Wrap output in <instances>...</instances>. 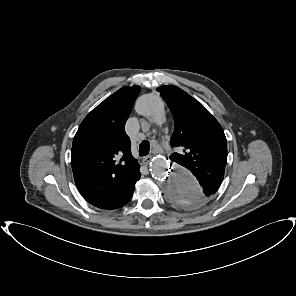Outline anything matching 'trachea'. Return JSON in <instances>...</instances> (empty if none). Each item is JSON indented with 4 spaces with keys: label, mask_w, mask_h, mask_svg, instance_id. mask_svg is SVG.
<instances>
[{
    "label": "trachea",
    "mask_w": 296,
    "mask_h": 296,
    "mask_svg": "<svg viewBox=\"0 0 296 296\" xmlns=\"http://www.w3.org/2000/svg\"><path fill=\"white\" fill-rule=\"evenodd\" d=\"M150 151V143L147 140H143L139 145V155L146 156Z\"/></svg>",
    "instance_id": "obj_1"
}]
</instances>
